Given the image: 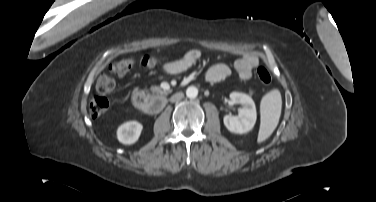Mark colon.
<instances>
[{
  "mask_svg": "<svg viewBox=\"0 0 376 202\" xmlns=\"http://www.w3.org/2000/svg\"><path fill=\"white\" fill-rule=\"evenodd\" d=\"M160 61V58L146 55L141 58L140 64L144 67H153ZM134 65L135 62L133 59L126 58L113 63L110 66V73L115 76H123L127 74ZM256 75L258 80L263 84H269L272 80L271 73L263 66L258 67ZM114 85V79L110 75L104 74L98 78L96 83L98 95H94L89 102V111L93 118L99 117L107 110L109 103L103 94L110 92L114 88Z\"/></svg>",
  "mask_w": 376,
  "mask_h": 202,
  "instance_id": "colon-1",
  "label": "colon"
}]
</instances>
